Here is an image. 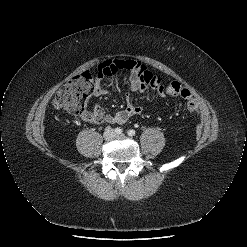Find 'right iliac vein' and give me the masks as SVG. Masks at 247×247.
<instances>
[{
  "mask_svg": "<svg viewBox=\"0 0 247 247\" xmlns=\"http://www.w3.org/2000/svg\"><path fill=\"white\" fill-rule=\"evenodd\" d=\"M113 136H114V133H113V131H112L111 129L106 130L105 133H104L105 139H108V140H109V139H111Z\"/></svg>",
  "mask_w": 247,
  "mask_h": 247,
  "instance_id": "63e3f726",
  "label": "right iliac vein"
}]
</instances>
